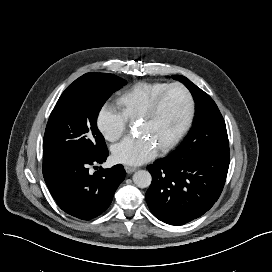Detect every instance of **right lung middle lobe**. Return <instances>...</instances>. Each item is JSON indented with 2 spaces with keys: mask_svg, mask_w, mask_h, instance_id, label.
Masks as SVG:
<instances>
[{
  "mask_svg": "<svg viewBox=\"0 0 272 272\" xmlns=\"http://www.w3.org/2000/svg\"><path fill=\"white\" fill-rule=\"evenodd\" d=\"M127 82L113 74L87 73L60 96L46 126L43 154L92 155L106 149L97 115L110 95Z\"/></svg>",
  "mask_w": 272,
  "mask_h": 272,
  "instance_id": "right-lung-middle-lobe-1",
  "label": "right lung middle lobe"
}]
</instances>
